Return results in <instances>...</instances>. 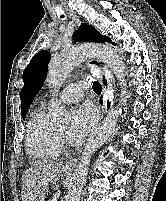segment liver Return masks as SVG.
I'll return each instance as SVG.
<instances>
[{
  "instance_id": "6515ba94",
  "label": "liver",
  "mask_w": 166,
  "mask_h": 201,
  "mask_svg": "<svg viewBox=\"0 0 166 201\" xmlns=\"http://www.w3.org/2000/svg\"><path fill=\"white\" fill-rule=\"evenodd\" d=\"M69 169L62 163L38 162L26 169L22 175V201H45L49 185L61 174Z\"/></svg>"
}]
</instances>
